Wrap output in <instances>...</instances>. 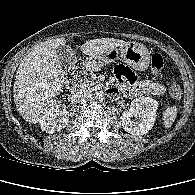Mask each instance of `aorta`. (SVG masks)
I'll use <instances>...</instances> for the list:
<instances>
[{
  "instance_id": "1",
  "label": "aorta",
  "mask_w": 195,
  "mask_h": 195,
  "mask_svg": "<svg viewBox=\"0 0 195 195\" xmlns=\"http://www.w3.org/2000/svg\"><path fill=\"white\" fill-rule=\"evenodd\" d=\"M104 98H105V93L103 92V91H98V92H96V94H95V99L97 100V101H103L104 100Z\"/></svg>"
}]
</instances>
